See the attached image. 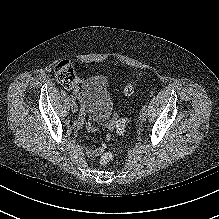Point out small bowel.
Segmentation results:
<instances>
[{"label":"small bowel","instance_id":"c3829d8e","mask_svg":"<svg viewBox=\"0 0 219 219\" xmlns=\"http://www.w3.org/2000/svg\"><path fill=\"white\" fill-rule=\"evenodd\" d=\"M68 89H69V90H73V92L76 93V94L78 93V91H77V86H76L75 84L68 86ZM79 97H80V96H79ZM88 128H89L91 131H95V130H96L95 127H94V125H92V124H89V125H88ZM103 149H104V146H103V145L100 146V147H98V148L88 149V150H87V155H88L89 157H91V158H96V157H98V156L101 154V152L103 151Z\"/></svg>","mask_w":219,"mask_h":219}]
</instances>
